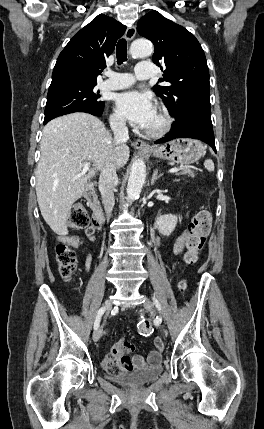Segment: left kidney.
Instances as JSON below:
<instances>
[{
  "mask_svg": "<svg viewBox=\"0 0 264 429\" xmlns=\"http://www.w3.org/2000/svg\"><path fill=\"white\" fill-rule=\"evenodd\" d=\"M177 222H178L177 215H173V214L160 215L156 219L154 223V227L158 229V231L162 235L169 236L174 231L177 225Z\"/></svg>",
  "mask_w": 264,
  "mask_h": 429,
  "instance_id": "1",
  "label": "left kidney"
}]
</instances>
